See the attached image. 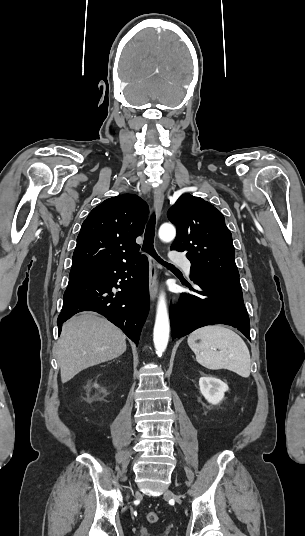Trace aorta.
<instances>
[{
  "instance_id": "aorta-1",
  "label": "aorta",
  "mask_w": 305,
  "mask_h": 536,
  "mask_svg": "<svg viewBox=\"0 0 305 536\" xmlns=\"http://www.w3.org/2000/svg\"><path fill=\"white\" fill-rule=\"evenodd\" d=\"M176 236V230L172 224L164 223L159 229V238L163 242H170ZM170 333L169 314L165 300V294L162 292L159 296L156 319L153 332V341L156 353L162 356L166 350Z\"/></svg>"
}]
</instances>
